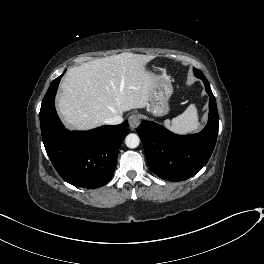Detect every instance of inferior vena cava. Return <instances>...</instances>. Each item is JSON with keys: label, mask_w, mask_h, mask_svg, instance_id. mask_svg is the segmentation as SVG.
Masks as SVG:
<instances>
[{"label": "inferior vena cava", "mask_w": 264, "mask_h": 264, "mask_svg": "<svg viewBox=\"0 0 264 264\" xmlns=\"http://www.w3.org/2000/svg\"><path fill=\"white\" fill-rule=\"evenodd\" d=\"M123 122V118L121 115H115L105 121L106 124L109 125H117Z\"/></svg>", "instance_id": "obj_1"}]
</instances>
